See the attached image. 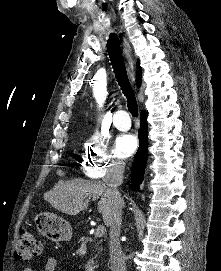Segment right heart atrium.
I'll use <instances>...</instances> for the list:
<instances>
[{"label":"right heart atrium","mask_w":221,"mask_h":271,"mask_svg":"<svg viewBox=\"0 0 221 271\" xmlns=\"http://www.w3.org/2000/svg\"><path fill=\"white\" fill-rule=\"evenodd\" d=\"M99 149L101 151H99ZM106 148L101 146H88V151H79L83 165L82 170H86L85 177H103L107 172V167H112L113 154L104 151ZM103 150V151H102Z\"/></svg>","instance_id":"d8ad5b80"}]
</instances>
